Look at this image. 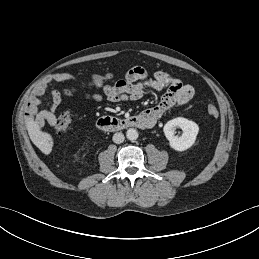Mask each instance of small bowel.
<instances>
[{"instance_id":"small-bowel-1","label":"small bowel","mask_w":259,"mask_h":259,"mask_svg":"<svg viewBox=\"0 0 259 259\" xmlns=\"http://www.w3.org/2000/svg\"><path fill=\"white\" fill-rule=\"evenodd\" d=\"M74 78V75L68 72H58L52 76V80L55 82H65ZM146 89L165 90V94L157 105L142 112L150 118L152 125L168 110L173 107L185 106L194 96V88L178 77L164 71H157L153 75H149L145 68L135 66L126 72L124 79L102 86L101 93L85 92L84 98L99 101L105 97L111 102L138 100ZM47 94L51 97V105L46 109H41L42 100ZM60 102L61 96L57 90L48 91L47 83L39 85L28 102L26 114L29 121L37 129H42L45 124L54 127L57 119L55 112Z\"/></svg>"}]
</instances>
